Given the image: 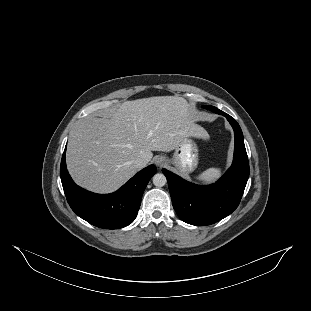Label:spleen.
Listing matches in <instances>:
<instances>
[{"label":"spleen","instance_id":"spleen-1","mask_svg":"<svg viewBox=\"0 0 311 311\" xmlns=\"http://www.w3.org/2000/svg\"><path fill=\"white\" fill-rule=\"evenodd\" d=\"M220 168H208L199 174L196 179L204 183H211L217 180L221 176Z\"/></svg>","mask_w":311,"mask_h":311}]
</instances>
